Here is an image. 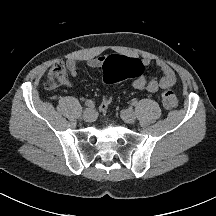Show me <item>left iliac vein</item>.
Listing matches in <instances>:
<instances>
[{"label":"left iliac vein","instance_id":"obj_1","mask_svg":"<svg viewBox=\"0 0 216 216\" xmlns=\"http://www.w3.org/2000/svg\"><path fill=\"white\" fill-rule=\"evenodd\" d=\"M121 118L129 124H133L136 120L135 113L130 109H124L121 111Z\"/></svg>","mask_w":216,"mask_h":216}]
</instances>
